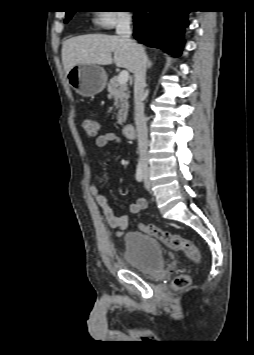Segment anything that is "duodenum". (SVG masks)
<instances>
[{
  "instance_id": "1",
  "label": "duodenum",
  "mask_w": 254,
  "mask_h": 355,
  "mask_svg": "<svg viewBox=\"0 0 254 355\" xmlns=\"http://www.w3.org/2000/svg\"><path fill=\"white\" fill-rule=\"evenodd\" d=\"M134 125L132 124H125L123 126V134L126 138L132 139L134 137Z\"/></svg>"
}]
</instances>
